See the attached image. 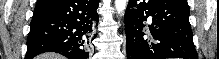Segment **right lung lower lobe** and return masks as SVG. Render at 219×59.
Returning a JSON list of instances; mask_svg holds the SVG:
<instances>
[{
    "instance_id": "obj_1",
    "label": "right lung lower lobe",
    "mask_w": 219,
    "mask_h": 59,
    "mask_svg": "<svg viewBox=\"0 0 219 59\" xmlns=\"http://www.w3.org/2000/svg\"><path fill=\"white\" fill-rule=\"evenodd\" d=\"M99 0H38L30 24L25 59L57 52L69 59H87L96 37Z\"/></svg>"
}]
</instances>
